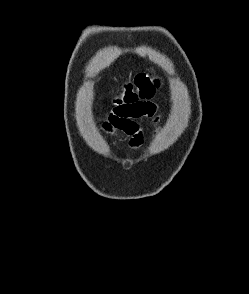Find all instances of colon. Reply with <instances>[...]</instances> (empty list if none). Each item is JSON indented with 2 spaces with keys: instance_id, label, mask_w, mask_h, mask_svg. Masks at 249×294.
Wrapping results in <instances>:
<instances>
[{
  "instance_id": "colon-1",
  "label": "colon",
  "mask_w": 249,
  "mask_h": 294,
  "mask_svg": "<svg viewBox=\"0 0 249 294\" xmlns=\"http://www.w3.org/2000/svg\"><path fill=\"white\" fill-rule=\"evenodd\" d=\"M158 86L159 82L153 79L150 74L140 73L123 86L122 96L116 102L134 103L150 99Z\"/></svg>"
}]
</instances>
